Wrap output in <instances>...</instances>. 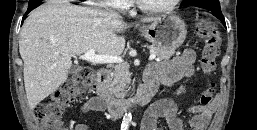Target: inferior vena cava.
Returning a JSON list of instances; mask_svg holds the SVG:
<instances>
[{
    "label": "inferior vena cava",
    "mask_w": 257,
    "mask_h": 130,
    "mask_svg": "<svg viewBox=\"0 0 257 130\" xmlns=\"http://www.w3.org/2000/svg\"><path fill=\"white\" fill-rule=\"evenodd\" d=\"M108 14L110 17L119 18V16L114 12H109Z\"/></svg>",
    "instance_id": "inferior-vena-cava-1"
}]
</instances>
